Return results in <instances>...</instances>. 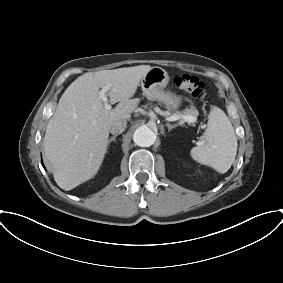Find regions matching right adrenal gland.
<instances>
[{
    "label": "right adrenal gland",
    "mask_w": 283,
    "mask_h": 283,
    "mask_svg": "<svg viewBox=\"0 0 283 283\" xmlns=\"http://www.w3.org/2000/svg\"><path fill=\"white\" fill-rule=\"evenodd\" d=\"M116 137H117V135L112 136V137L108 140L107 146H109L112 141H115Z\"/></svg>",
    "instance_id": "obj_1"
}]
</instances>
